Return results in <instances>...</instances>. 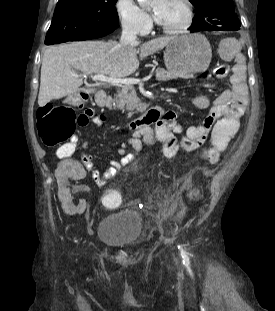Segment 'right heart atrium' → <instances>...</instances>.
I'll list each match as a JSON object with an SVG mask.
<instances>
[{
    "label": "right heart atrium",
    "instance_id": "d8ad5b80",
    "mask_svg": "<svg viewBox=\"0 0 275 311\" xmlns=\"http://www.w3.org/2000/svg\"><path fill=\"white\" fill-rule=\"evenodd\" d=\"M114 10L121 27L126 31L143 35L152 27L150 15L135 0H115Z\"/></svg>",
    "mask_w": 275,
    "mask_h": 311
}]
</instances>
